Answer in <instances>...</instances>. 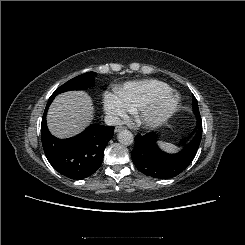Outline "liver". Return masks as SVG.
<instances>
[{
  "label": "liver",
  "mask_w": 245,
  "mask_h": 245,
  "mask_svg": "<svg viewBox=\"0 0 245 245\" xmlns=\"http://www.w3.org/2000/svg\"><path fill=\"white\" fill-rule=\"evenodd\" d=\"M91 97L83 91H69L58 95L47 116L50 132L59 138H68L81 132L93 119Z\"/></svg>",
  "instance_id": "1"
}]
</instances>
